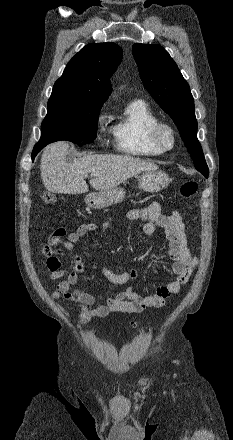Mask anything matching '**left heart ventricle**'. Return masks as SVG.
<instances>
[{
	"mask_svg": "<svg viewBox=\"0 0 233 440\" xmlns=\"http://www.w3.org/2000/svg\"><path fill=\"white\" fill-rule=\"evenodd\" d=\"M164 141H165V143H169L170 142L169 136L167 134L164 135Z\"/></svg>",
	"mask_w": 233,
	"mask_h": 440,
	"instance_id": "left-heart-ventricle-1",
	"label": "left heart ventricle"
}]
</instances>
